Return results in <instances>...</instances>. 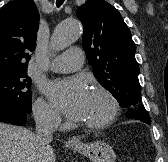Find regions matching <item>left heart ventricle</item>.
<instances>
[{
  "label": "left heart ventricle",
  "mask_w": 168,
  "mask_h": 162,
  "mask_svg": "<svg viewBox=\"0 0 168 162\" xmlns=\"http://www.w3.org/2000/svg\"><path fill=\"white\" fill-rule=\"evenodd\" d=\"M108 112V102L100 95L90 93L88 104L82 122H96L101 120Z\"/></svg>",
  "instance_id": "1"
}]
</instances>
